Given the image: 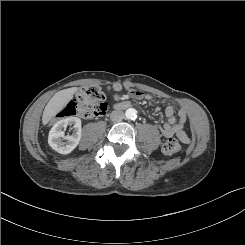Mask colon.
Masks as SVG:
<instances>
[{
  "mask_svg": "<svg viewBox=\"0 0 245 245\" xmlns=\"http://www.w3.org/2000/svg\"><path fill=\"white\" fill-rule=\"evenodd\" d=\"M113 90L119 93L122 90V86L115 85ZM106 110L107 103L102 89L94 85L83 86L55 116V120L73 116L95 118L104 115ZM162 150L165 154L172 155L182 151V145L176 138L171 137L164 142Z\"/></svg>",
  "mask_w": 245,
  "mask_h": 245,
  "instance_id": "obj_1",
  "label": "colon"
}]
</instances>
